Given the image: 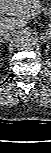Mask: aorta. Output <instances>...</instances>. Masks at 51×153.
Listing matches in <instances>:
<instances>
[{"label": "aorta", "instance_id": "762f6f07", "mask_svg": "<svg viewBox=\"0 0 51 153\" xmlns=\"http://www.w3.org/2000/svg\"><path fill=\"white\" fill-rule=\"evenodd\" d=\"M35 46V38L28 33L18 36L15 40V47L19 51H29Z\"/></svg>", "mask_w": 51, "mask_h": 153}]
</instances>
